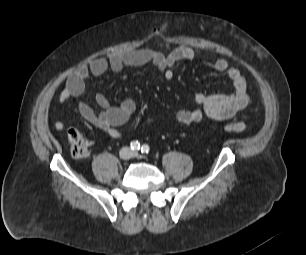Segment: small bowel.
<instances>
[{
  "label": "small bowel",
  "mask_w": 306,
  "mask_h": 255,
  "mask_svg": "<svg viewBox=\"0 0 306 255\" xmlns=\"http://www.w3.org/2000/svg\"><path fill=\"white\" fill-rule=\"evenodd\" d=\"M196 51L188 46H179L168 54L149 48L130 50L111 54L108 58L98 57L89 64L80 65L68 78L59 96L60 103L70 98L80 97L85 90V81L90 76H101L108 70L119 72L125 67L151 65L157 69L165 81L172 79L176 65L182 61L192 60ZM217 72L224 73L233 85L229 94L197 93L194 97L196 107L179 110L175 117L181 125H191L202 120L204 116L218 121L233 118L244 109L250 100L247 81L240 70L229 66L224 58H218L213 64ZM97 108L81 101L78 110L81 116L96 128L112 138L121 136L119 126L125 124L134 114L136 105L131 99H124L118 105L111 106L107 97L98 94L95 98ZM152 120L150 119L149 122ZM56 130H63V121H56Z\"/></svg>",
  "instance_id": "c3829d8e"
}]
</instances>
